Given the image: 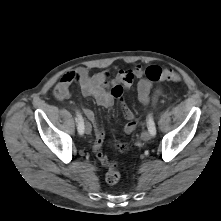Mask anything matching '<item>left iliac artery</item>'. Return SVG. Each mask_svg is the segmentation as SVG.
Returning <instances> with one entry per match:
<instances>
[{"instance_id": "44dca946", "label": "left iliac artery", "mask_w": 221, "mask_h": 221, "mask_svg": "<svg viewBox=\"0 0 221 221\" xmlns=\"http://www.w3.org/2000/svg\"><path fill=\"white\" fill-rule=\"evenodd\" d=\"M147 126H148V130L150 131V133L153 136L156 135V127H155V123L153 121V118H152L151 114L148 116Z\"/></svg>"}]
</instances>
